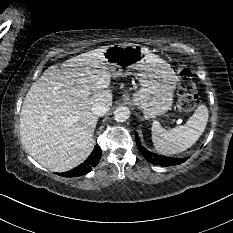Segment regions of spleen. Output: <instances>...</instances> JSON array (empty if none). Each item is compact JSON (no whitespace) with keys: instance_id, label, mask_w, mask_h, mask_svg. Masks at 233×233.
<instances>
[{"instance_id":"obj_1","label":"spleen","mask_w":233,"mask_h":233,"mask_svg":"<svg viewBox=\"0 0 233 233\" xmlns=\"http://www.w3.org/2000/svg\"><path fill=\"white\" fill-rule=\"evenodd\" d=\"M209 112L205 105H199L185 125L170 130L158 121L152 124V141L156 150L163 154H177L190 148L204 132Z\"/></svg>"}]
</instances>
